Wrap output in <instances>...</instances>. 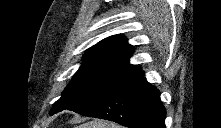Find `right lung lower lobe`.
<instances>
[{"mask_svg":"<svg viewBox=\"0 0 221 128\" xmlns=\"http://www.w3.org/2000/svg\"><path fill=\"white\" fill-rule=\"evenodd\" d=\"M71 110L129 128H165L166 110L159 90L146 81L141 70L103 96Z\"/></svg>","mask_w":221,"mask_h":128,"instance_id":"obj_1","label":"right lung lower lobe"}]
</instances>
